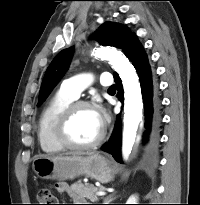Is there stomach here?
I'll use <instances>...</instances> for the list:
<instances>
[{"label": "stomach", "mask_w": 200, "mask_h": 205, "mask_svg": "<svg viewBox=\"0 0 200 205\" xmlns=\"http://www.w3.org/2000/svg\"><path fill=\"white\" fill-rule=\"evenodd\" d=\"M33 170L42 179L66 180L85 175L101 183L111 181L116 173L113 162L98 153L40 156L33 161Z\"/></svg>", "instance_id": "0dacf381"}]
</instances>
